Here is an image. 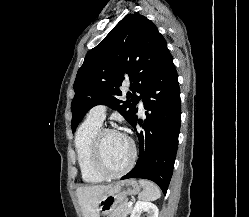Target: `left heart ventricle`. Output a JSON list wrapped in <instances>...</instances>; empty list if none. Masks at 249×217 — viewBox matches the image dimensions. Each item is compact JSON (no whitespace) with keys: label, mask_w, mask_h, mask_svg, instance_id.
Here are the masks:
<instances>
[{"label":"left heart ventricle","mask_w":249,"mask_h":217,"mask_svg":"<svg viewBox=\"0 0 249 217\" xmlns=\"http://www.w3.org/2000/svg\"><path fill=\"white\" fill-rule=\"evenodd\" d=\"M102 154L106 167L111 171H119L130 159V146L122 134L107 133L102 140Z\"/></svg>","instance_id":"1"}]
</instances>
